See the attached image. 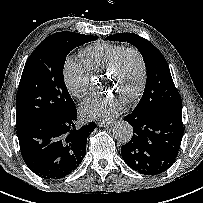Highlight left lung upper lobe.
I'll list each match as a JSON object with an SVG mask.
<instances>
[{
    "mask_svg": "<svg viewBox=\"0 0 203 203\" xmlns=\"http://www.w3.org/2000/svg\"><path fill=\"white\" fill-rule=\"evenodd\" d=\"M110 41L128 42L143 56L147 81L143 96L133 111L154 115L167 111H182L181 97L174 85L168 64L161 52L148 40L133 33H117Z\"/></svg>",
    "mask_w": 203,
    "mask_h": 203,
    "instance_id": "1",
    "label": "left lung upper lobe"
}]
</instances>
